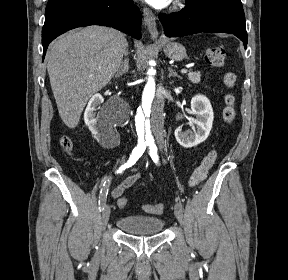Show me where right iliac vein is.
<instances>
[{"label": "right iliac vein", "instance_id": "right-iliac-vein-1", "mask_svg": "<svg viewBox=\"0 0 288 280\" xmlns=\"http://www.w3.org/2000/svg\"><path fill=\"white\" fill-rule=\"evenodd\" d=\"M109 218H110V207L109 205H105L102 211V216H101V223H102L103 229L106 227L109 221Z\"/></svg>", "mask_w": 288, "mask_h": 280}]
</instances>
